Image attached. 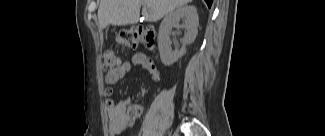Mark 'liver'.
Returning <instances> with one entry per match:
<instances>
[{"label": "liver", "instance_id": "liver-1", "mask_svg": "<svg viewBox=\"0 0 325 136\" xmlns=\"http://www.w3.org/2000/svg\"><path fill=\"white\" fill-rule=\"evenodd\" d=\"M192 0H100L98 24L100 29L108 25L120 26L135 24L139 21L140 8L147 22H156L175 8L186 5Z\"/></svg>", "mask_w": 325, "mask_h": 136}]
</instances>
